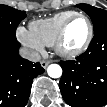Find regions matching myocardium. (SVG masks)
Returning a JSON list of instances; mask_svg holds the SVG:
<instances>
[{
  "instance_id": "obj_1",
  "label": "myocardium",
  "mask_w": 107,
  "mask_h": 107,
  "mask_svg": "<svg viewBox=\"0 0 107 107\" xmlns=\"http://www.w3.org/2000/svg\"><path fill=\"white\" fill-rule=\"evenodd\" d=\"M76 18H82L86 21V23L88 25V33H87V36H86L83 44L80 47H78L74 50H67L64 47L66 33H67L70 23ZM93 34H94V29H93V25H92V22L89 19V17L83 13H75L74 15L69 17L63 24L55 42H54V45H53L54 50L59 56H61L63 58H66V59L76 58L87 50V48L89 47V45L93 39Z\"/></svg>"
}]
</instances>
